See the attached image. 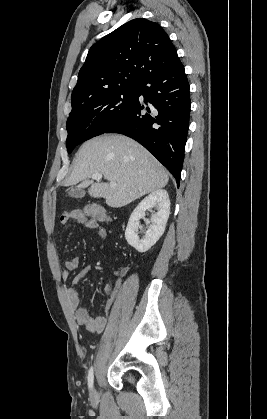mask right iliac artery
<instances>
[{
    "mask_svg": "<svg viewBox=\"0 0 267 419\" xmlns=\"http://www.w3.org/2000/svg\"><path fill=\"white\" fill-rule=\"evenodd\" d=\"M93 380H94V369L93 367H91L88 373V386L90 389L93 387Z\"/></svg>",
    "mask_w": 267,
    "mask_h": 419,
    "instance_id": "1",
    "label": "right iliac artery"
}]
</instances>
